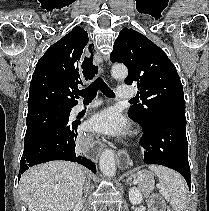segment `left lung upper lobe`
<instances>
[{
    "instance_id": "1",
    "label": "left lung upper lobe",
    "mask_w": 209,
    "mask_h": 211,
    "mask_svg": "<svg viewBox=\"0 0 209 211\" xmlns=\"http://www.w3.org/2000/svg\"><path fill=\"white\" fill-rule=\"evenodd\" d=\"M110 59L127 66L129 74L125 82L137 86L138 98L142 100V104L130 107V118L146 126L160 116L185 114L177 70L165 52L147 37L124 28L114 43Z\"/></svg>"
}]
</instances>
